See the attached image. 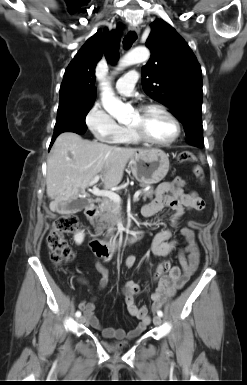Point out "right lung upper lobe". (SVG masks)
<instances>
[{"label": "right lung upper lobe", "mask_w": 247, "mask_h": 385, "mask_svg": "<svg viewBox=\"0 0 247 385\" xmlns=\"http://www.w3.org/2000/svg\"><path fill=\"white\" fill-rule=\"evenodd\" d=\"M121 31L98 30L77 52L68 65L60 87V97L95 99V66L105 54L108 61L115 63L119 58Z\"/></svg>", "instance_id": "1"}]
</instances>
